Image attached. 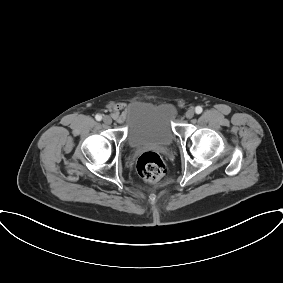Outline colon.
I'll return each mask as SVG.
<instances>
[{
	"label": "colon",
	"mask_w": 283,
	"mask_h": 283,
	"mask_svg": "<svg viewBox=\"0 0 283 283\" xmlns=\"http://www.w3.org/2000/svg\"><path fill=\"white\" fill-rule=\"evenodd\" d=\"M140 177L149 183L162 182L167 174V168L161 157L153 151L143 153L137 161Z\"/></svg>",
	"instance_id": "obj_1"
}]
</instances>
